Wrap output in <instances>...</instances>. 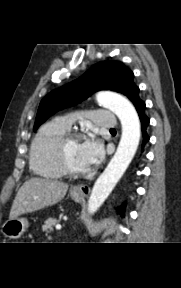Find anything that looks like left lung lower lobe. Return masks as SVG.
Wrapping results in <instances>:
<instances>
[{"label": "left lung lower lobe", "mask_w": 181, "mask_h": 288, "mask_svg": "<svg viewBox=\"0 0 181 288\" xmlns=\"http://www.w3.org/2000/svg\"><path fill=\"white\" fill-rule=\"evenodd\" d=\"M132 103L134 104L138 115L140 117V121H141V126H142V132H143V146L145 145V143L149 140V136L146 133V128L149 124V119L146 117L144 110H145V103L140 100L139 98V91L132 97L131 99ZM143 150V148H142ZM124 208H125V204H123L121 206V208L119 209V213L124 216Z\"/></svg>", "instance_id": "obj_1"}]
</instances>
